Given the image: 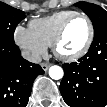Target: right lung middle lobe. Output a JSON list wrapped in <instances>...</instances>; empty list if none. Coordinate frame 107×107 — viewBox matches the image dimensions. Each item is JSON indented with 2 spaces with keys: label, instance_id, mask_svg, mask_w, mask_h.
I'll list each match as a JSON object with an SVG mask.
<instances>
[{
  "label": "right lung middle lobe",
  "instance_id": "1",
  "mask_svg": "<svg viewBox=\"0 0 107 107\" xmlns=\"http://www.w3.org/2000/svg\"><path fill=\"white\" fill-rule=\"evenodd\" d=\"M25 18V13L5 3H0V42L14 45V31Z\"/></svg>",
  "mask_w": 107,
  "mask_h": 107
}]
</instances>
